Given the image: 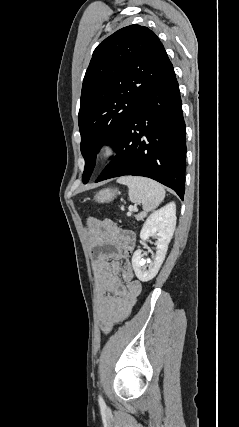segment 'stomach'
<instances>
[{"instance_id": "0dacf381", "label": "stomach", "mask_w": 239, "mask_h": 427, "mask_svg": "<svg viewBox=\"0 0 239 427\" xmlns=\"http://www.w3.org/2000/svg\"><path fill=\"white\" fill-rule=\"evenodd\" d=\"M118 194L117 191L112 190V189H104L99 191L94 199L96 202L98 203H108L113 201L116 198V195Z\"/></svg>"}]
</instances>
